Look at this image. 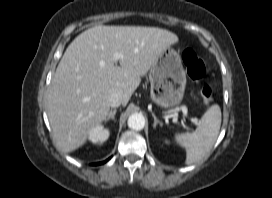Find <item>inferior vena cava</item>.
<instances>
[{
	"label": "inferior vena cava",
	"instance_id": "602c4592",
	"mask_svg": "<svg viewBox=\"0 0 272 198\" xmlns=\"http://www.w3.org/2000/svg\"><path fill=\"white\" fill-rule=\"evenodd\" d=\"M108 101L111 107H119L122 104V96L119 93L114 92L109 96Z\"/></svg>",
	"mask_w": 272,
	"mask_h": 198
}]
</instances>
